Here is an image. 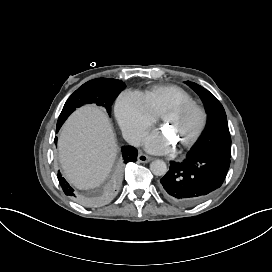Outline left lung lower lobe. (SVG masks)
Segmentation results:
<instances>
[{"instance_id":"left-lung-lower-lobe-1","label":"left lung lower lobe","mask_w":272,"mask_h":272,"mask_svg":"<svg viewBox=\"0 0 272 272\" xmlns=\"http://www.w3.org/2000/svg\"><path fill=\"white\" fill-rule=\"evenodd\" d=\"M229 166L230 157L221 154L189 155L181 163H170L159 189L172 203L192 206L223 184Z\"/></svg>"}]
</instances>
